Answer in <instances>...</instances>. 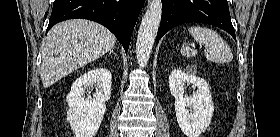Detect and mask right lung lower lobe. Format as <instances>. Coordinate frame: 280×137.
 I'll return each mask as SVG.
<instances>
[{"label":"right lung lower lobe","instance_id":"98d812e1","mask_svg":"<svg viewBox=\"0 0 280 137\" xmlns=\"http://www.w3.org/2000/svg\"><path fill=\"white\" fill-rule=\"evenodd\" d=\"M145 0H55L47 31L73 18L98 22L108 28L127 53L131 35Z\"/></svg>","mask_w":280,"mask_h":137}]
</instances>
